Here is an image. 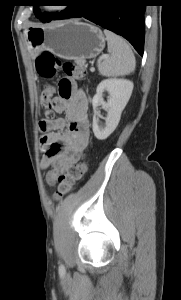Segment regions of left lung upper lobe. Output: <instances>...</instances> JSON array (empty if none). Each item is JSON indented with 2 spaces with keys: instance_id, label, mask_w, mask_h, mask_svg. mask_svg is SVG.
I'll list each match as a JSON object with an SVG mask.
<instances>
[{
  "instance_id": "obj_1",
  "label": "left lung upper lobe",
  "mask_w": 181,
  "mask_h": 300,
  "mask_svg": "<svg viewBox=\"0 0 181 300\" xmlns=\"http://www.w3.org/2000/svg\"><path fill=\"white\" fill-rule=\"evenodd\" d=\"M34 13L40 20H45V21H48L50 17L55 14V13H46L43 15L40 13L38 6H34Z\"/></svg>"
}]
</instances>
